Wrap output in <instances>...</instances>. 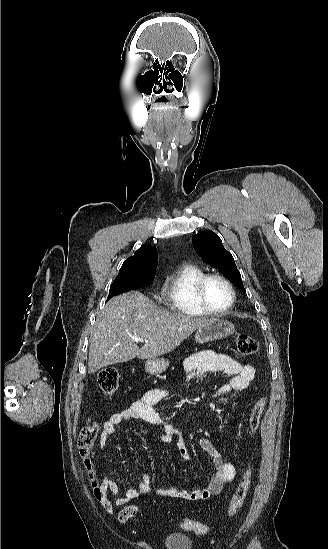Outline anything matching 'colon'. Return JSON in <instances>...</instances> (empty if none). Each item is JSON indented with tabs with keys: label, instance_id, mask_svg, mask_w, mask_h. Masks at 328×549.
Segmentation results:
<instances>
[{
	"label": "colon",
	"instance_id": "obj_1",
	"mask_svg": "<svg viewBox=\"0 0 328 549\" xmlns=\"http://www.w3.org/2000/svg\"><path fill=\"white\" fill-rule=\"evenodd\" d=\"M236 346L238 352L244 356H251L258 350L257 342L247 334H239L236 338ZM97 382L100 390L107 396H111L116 393L119 387V375L114 369H104L99 372ZM266 406V399H259L252 407L248 417V430L251 436H254L257 432L261 416ZM97 425L95 423L88 422L80 431L78 436V449L79 453L84 459V464L89 472V478L94 488V495L97 499L100 498V489L95 479V473L93 470V462L91 460L92 449L97 437ZM252 465L251 462L247 464V467L242 475L239 484L232 495L229 502L227 516L233 518L241 509L248 494L251 479H252ZM138 513V507L133 504L125 505L118 514V521L120 523H127L134 518ZM179 526L187 531L193 532L197 535L206 534L209 531V527L201 522L191 519H182L179 522Z\"/></svg>",
	"mask_w": 328,
	"mask_h": 549
}]
</instances>
